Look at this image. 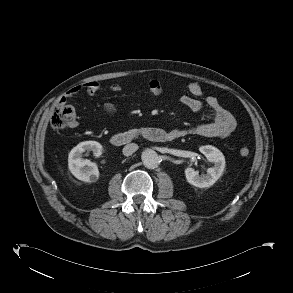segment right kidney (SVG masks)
<instances>
[{
    "label": "right kidney",
    "mask_w": 293,
    "mask_h": 293,
    "mask_svg": "<svg viewBox=\"0 0 293 293\" xmlns=\"http://www.w3.org/2000/svg\"><path fill=\"white\" fill-rule=\"evenodd\" d=\"M93 151L96 157L102 154L103 147L97 141H84L75 146L68 156V168L78 179L84 182H95L99 178L97 165L88 159L82 158L85 151Z\"/></svg>",
    "instance_id": "obj_1"
}]
</instances>
